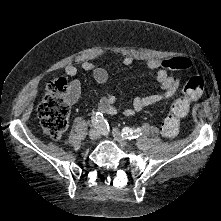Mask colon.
Wrapping results in <instances>:
<instances>
[{
    "mask_svg": "<svg viewBox=\"0 0 221 221\" xmlns=\"http://www.w3.org/2000/svg\"><path fill=\"white\" fill-rule=\"evenodd\" d=\"M165 70H186L191 67V61L185 57L166 59L161 63ZM205 88V81L201 76L191 77L183 88L182 97L175 100L165 117L161 132L167 138H175L179 132L180 122L187 113L191 101L197 99ZM71 86L61 77L48 86L39 107L38 116L42 130L51 138H61L68 126L70 115L69 100Z\"/></svg>",
    "mask_w": 221,
    "mask_h": 221,
    "instance_id": "obj_1",
    "label": "colon"
}]
</instances>
